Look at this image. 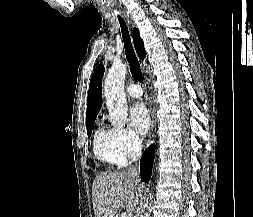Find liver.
<instances>
[{
  "instance_id": "1",
  "label": "liver",
  "mask_w": 253,
  "mask_h": 217,
  "mask_svg": "<svg viewBox=\"0 0 253 217\" xmlns=\"http://www.w3.org/2000/svg\"><path fill=\"white\" fill-rule=\"evenodd\" d=\"M143 184L127 172H105L95 177L92 203L95 217H117L121 210L133 216L138 210Z\"/></svg>"
}]
</instances>
